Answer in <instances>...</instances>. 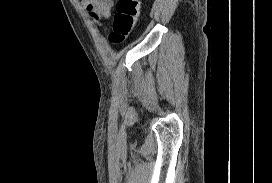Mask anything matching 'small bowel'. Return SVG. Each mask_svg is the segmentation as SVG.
I'll return each instance as SVG.
<instances>
[{
	"label": "small bowel",
	"instance_id": "obj_1",
	"mask_svg": "<svg viewBox=\"0 0 272 183\" xmlns=\"http://www.w3.org/2000/svg\"><path fill=\"white\" fill-rule=\"evenodd\" d=\"M114 8V0H86V9L89 15L96 19L108 18Z\"/></svg>",
	"mask_w": 272,
	"mask_h": 183
}]
</instances>
